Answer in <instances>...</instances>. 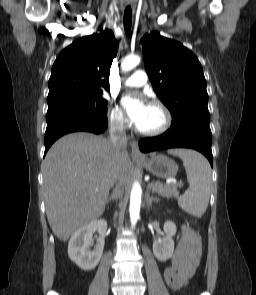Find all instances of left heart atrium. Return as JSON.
I'll list each match as a JSON object with an SVG mask.
<instances>
[{
	"instance_id": "39dd6f15",
	"label": "left heart atrium",
	"mask_w": 256,
	"mask_h": 295,
	"mask_svg": "<svg viewBox=\"0 0 256 295\" xmlns=\"http://www.w3.org/2000/svg\"><path fill=\"white\" fill-rule=\"evenodd\" d=\"M121 105L129 121L138 127L145 118L149 105L139 96L126 95L121 99Z\"/></svg>"
}]
</instances>
